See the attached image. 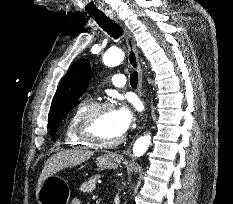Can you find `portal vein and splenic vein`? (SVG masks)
I'll return each mask as SVG.
<instances>
[{"label": "portal vein and splenic vein", "mask_w": 233, "mask_h": 204, "mask_svg": "<svg viewBox=\"0 0 233 204\" xmlns=\"http://www.w3.org/2000/svg\"><path fill=\"white\" fill-rule=\"evenodd\" d=\"M96 198H97V196H96V195H93V196H92V199H93V200H95Z\"/></svg>", "instance_id": "18ae733b"}]
</instances>
